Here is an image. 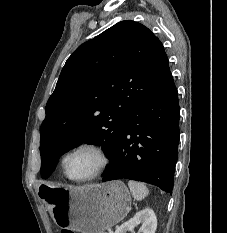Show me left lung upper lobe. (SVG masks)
<instances>
[{
  "label": "left lung upper lobe",
  "instance_id": "obj_1",
  "mask_svg": "<svg viewBox=\"0 0 227 233\" xmlns=\"http://www.w3.org/2000/svg\"><path fill=\"white\" fill-rule=\"evenodd\" d=\"M170 75L160 40L144 25L121 21L80 45L66 61L40 128L41 176L83 142L113 160L132 110ZM110 165V164H109Z\"/></svg>",
  "mask_w": 227,
  "mask_h": 233
}]
</instances>
